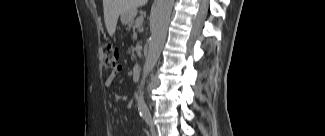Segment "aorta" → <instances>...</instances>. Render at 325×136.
Returning <instances> with one entry per match:
<instances>
[{
  "label": "aorta",
  "instance_id": "1",
  "mask_svg": "<svg viewBox=\"0 0 325 136\" xmlns=\"http://www.w3.org/2000/svg\"><path fill=\"white\" fill-rule=\"evenodd\" d=\"M173 4L174 0H157L156 6L151 14V36L149 39L146 62L143 69V79L141 81L142 85L145 83V78L153 70L159 59L167 36L168 24L170 21ZM137 106L138 110L142 114L149 111L144 97L141 94L137 97Z\"/></svg>",
  "mask_w": 325,
  "mask_h": 136
}]
</instances>
